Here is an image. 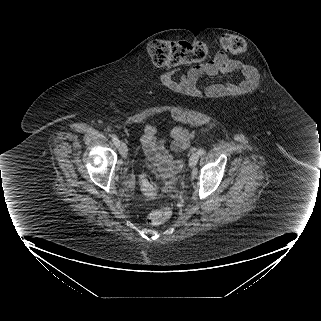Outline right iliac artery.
I'll use <instances>...</instances> for the list:
<instances>
[{"label": "right iliac artery", "mask_w": 321, "mask_h": 321, "mask_svg": "<svg viewBox=\"0 0 321 321\" xmlns=\"http://www.w3.org/2000/svg\"><path fill=\"white\" fill-rule=\"evenodd\" d=\"M112 141L114 142V144L118 147L119 146V139L117 138V136L112 135Z\"/></svg>", "instance_id": "right-iliac-artery-1"}]
</instances>
